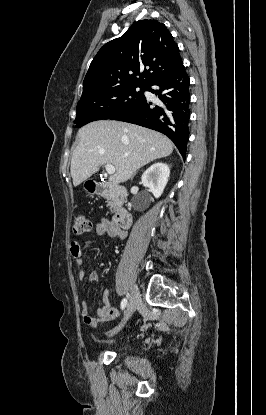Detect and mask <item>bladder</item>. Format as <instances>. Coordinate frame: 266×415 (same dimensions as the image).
<instances>
[{
  "mask_svg": "<svg viewBox=\"0 0 266 415\" xmlns=\"http://www.w3.org/2000/svg\"><path fill=\"white\" fill-rule=\"evenodd\" d=\"M128 348H129V345L127 343H125V344H123L119 347L120 350H127Z\"/></svg>",
  "mask_w": 266,
  "mask_h": 415,
  "instance_id": "obj_1",
  "label": "bladder"
}]
</instances>
